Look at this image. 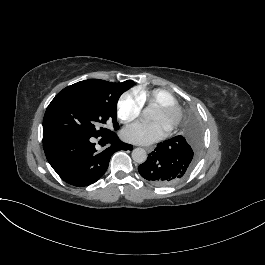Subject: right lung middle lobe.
<instances>
[{"label":"right lung middle lobe","mask_w":265,"mask_h":265,"mask_svg":"<svg viewBox=\"0 0 265 265\" xmlns=\"http://www.w3.org/2000/svg\"><path fill=\"white\" fill-rule=\"evenodd\" d=\"M135 83L127 80L111 83L88 79L64 88L51 101L43 119V144L52 140L78 136L99 137L119 128L117 102Z\"/></svg>","instance_id":"dd1d6c3e"}]
</instances>
